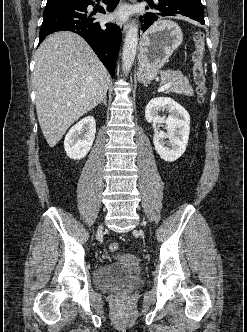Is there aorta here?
<instances>
[{
    "label": "aorta",
    "mask_w": 247,
    "mask_h": 332,
    "mask_svg": "<svg viewBox=\"0 0 247 332\" xmlns=\"http://www.w3.org/2000/svg\"><path fill=\"white\" fill-rule=\"evenodd\" d=\"M138 45V28L132 23L126 33L122 52V67L128 73L133 65Z\"/></svg>",
    "instance_id": "aorta-1"
}]
</instances>
